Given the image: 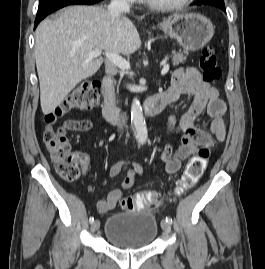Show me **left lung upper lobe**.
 Returning a JSON list of instances; mask_svg holds the SVG:
<instances>
[{"label":"left lung upper lobe","instance_id":"5c2ea615","mask_svg":"<svg viewBox=\"0 0 265 269\" xmlns=\"http://www.w3.org/2000/svg\"><path fill=\"white\" fill-rule=\"evenodd\" d=\"M200 1H204V0H198V2H200ZM219 1H224V0H219ZM197 3V2H196Z\"/></svg>","mask_w":265,"mask_h":269}]
</instances>
